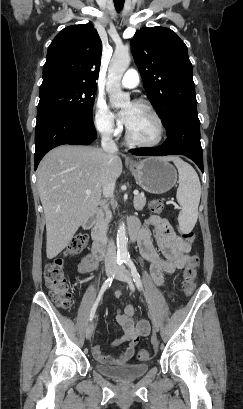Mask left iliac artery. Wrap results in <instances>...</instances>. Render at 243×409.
Returning a JSON list of instances; mask_svg holds the SVG:
<instances>
[{"label": "left iliac artery", "instance_id": "1", "mask_svg": "<svg viewBox=\"0 0 243 409\" xmlns=\"http://www.w3.org/2000/svg\"><path fill=\"white\" fill-rule=\"evenodd\" d=\"M124 263L128 266V268L131 270V274H132V276H133V278H134V282L136 283V285L139 287V288H141L142 290H143V292H144V289H143V285H142V282H141V279H140V275H139V273H138V271H137V269H136V266L134 265V263H133V261L130 259V257L129 258H125V260H124ZM144 294H145V297H146V293L144 292ZM149 308H150V306H149Z\"/></svg>", "mask_w": 243, "mask_h": 409}]
</instances>
